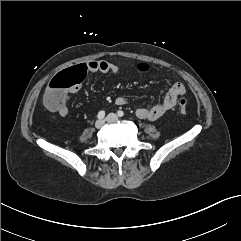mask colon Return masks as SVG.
Returning a JSON list of instances; mask_svg holds the SVG:
<instances>
[{"instance_id": "colon-1", "label": "colon", "mask_w": 241, "mask_h": 241, "mask_svg": "<svg viewBox=\"0 0 241 241\" xmlns=\"http://www.w3.org/2000/svg\"><path fill=\"white\" fill-rule=\"evenodd\" d=\"M140 69H144V67L140 66ZM86 75L87 68L82 63H75L70 69L59 72L48 85L44 96L45 105L48 108H53L60 104L63 95L79 85ZM179 111L181 114L187 113V101L185 99L180 100Z\"/></svg>"}]
</instances>
